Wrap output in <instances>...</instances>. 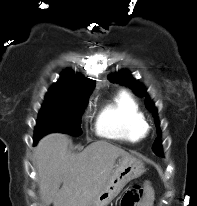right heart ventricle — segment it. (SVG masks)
<instances>
[{
  "instance_id": "1",
  "label": "right heart ventricle",
  "mask_w": 197,
  "mask_h": 206,
  "mask_svg": "<svg viewBox=\"0 0 197 206\" xmlns=\"http://www.w3.org/2000/svg\"><path fill=\"white\" fill-rule=\"evenodd\" d=\"M146 131V121L138 103L126 92L118 93L106 104L96 120L97 134L106 138L138 141Z\"/></svg>"
}]
</instances>
